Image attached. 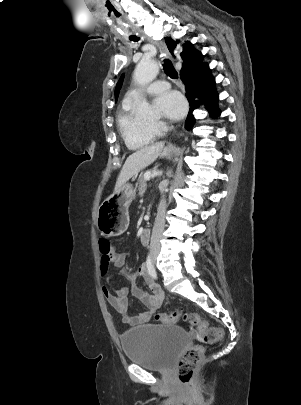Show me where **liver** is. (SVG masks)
<instances>
[{
  "mask_svg": "<svg viewBox=\"0 0 301 405\" xmlns=\"http://www.w3.org/2000/svg\"><path fill=\"white\" fill-rule=\"evenodd\" d=\"M173 152L178 153L179 149L174 146H165L164 142H157L137 150L126 159L117 178L115 190L152 164L158 157H169Z\"/></svg>",
  "mask_w": 301,
  "mask_h": 405,
  "instance_id": "liver-1",
  "label": "liver"
}]
</instances>
